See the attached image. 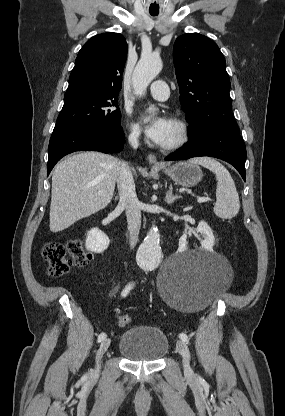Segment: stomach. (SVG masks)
Instances as JSON below:
<instances>
[{"label":"stomach","instance_id":"obj_1","mask_svg":"<svg viewBox=\"0 0 285 416\" xmlns=\"http://www.w3.org/2000/svg\"><path fill=\"white\" fill-rule=\"evenodd\" d=\"M156 170H164L165 174L176 182V184H180V186H185V188H192V186H197L198 182L202 180V172L197 166V164H189V162H178V164H174V166H170V168H160V166H156Z\"/></svg>","mask_w":285,"mask_h":416}]
</instances>
